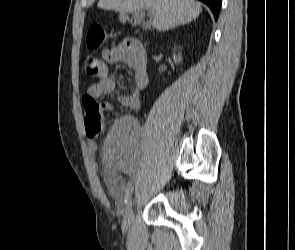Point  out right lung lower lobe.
Segmentation results:
<instances>
[{
	"label": "right lung lower lobe",
	"mask_w": 295,
	"mask_h": 250,
	"mask_svg": "<svg viewBox=\"0 0 295 250\" xmlns=\"http://www.w3.org/2000/svg\"><path fill=\"white\" fill-rule=\"evenodd\" d=\"M201 2L207 4L211 9L215 20L218 19L219 11L221 8V0H200Z\"/></svg>",
	"instance_id": "98d812e1"
}]
</instances>
